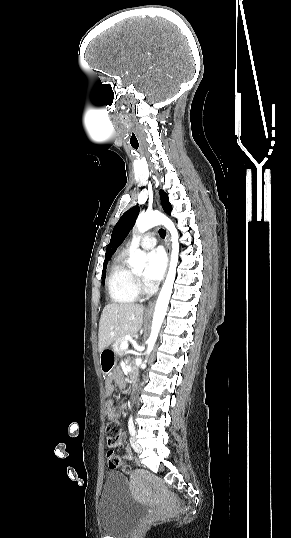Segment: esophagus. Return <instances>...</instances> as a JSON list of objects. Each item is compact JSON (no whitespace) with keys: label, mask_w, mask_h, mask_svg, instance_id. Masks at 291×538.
I'll list each match as a JSON object with an SVG mask.
<instances>
[{"label":"esophagus","mask_w":291,"mask_h":538,"mask_svg":"<svg viewBox=\"0 0 291 538\" xmlns=\"http://www.w3.org/2000/svg\"><path fill=\"white\" fill-rule=\"evenodd\" d=\"M155 196H156V201H157V204L160 206V203H159V196H158V192L156 191L155 192ZM171 246V242H170V234L167 232L166 234V250H167V254L168 256L170 257V248ZM155 302H156V298L152 299L149 304H148V310L149 311H152L153 308H154V305H155Z\"/></svg>","instance_id":"obj_1"}]
</instances>
